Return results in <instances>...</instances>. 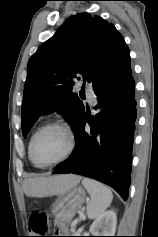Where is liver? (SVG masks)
Wrapping results in <instances>:
<instances>
[{
    "label": "liver",
    "mask_w": 158,
    "mask_h": 237,
    "mask_svg": "<svg viewBox=\"0 0 158 237\" xmlns=\"http://www.w3.org/2000/svg\"><path fill=\"white\" fill-rule=\"evenodd\" d=\"M80 179V176L74 174L27 178L23 182V190L27 196L32 197L59 195L78 184Z\"/></svg>",
    "instance_id": "liver-1"
}]
</instances>
